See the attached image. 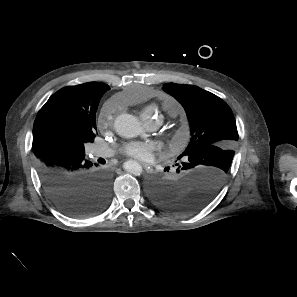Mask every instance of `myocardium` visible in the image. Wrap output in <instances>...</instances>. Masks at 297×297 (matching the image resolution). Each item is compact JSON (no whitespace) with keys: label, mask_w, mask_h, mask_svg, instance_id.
Returning a JSON list of instances; mask_svg holds the SVG:
<instances>
[{"label":"myocardium","mask_w":297,"mask_h":297,"mask_svg":"<svg viewBox=\"0 0 297 297\" xmlns=\"http://www.w3.org/2000/svg\"><path fill=\"white\" fill-rule=\"evenodd\" d=\"M182 141V137H178L177 143Z\"/></svg>","instance_id":"f54148a6"}]
</instances>
